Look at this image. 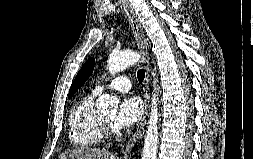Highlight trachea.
I'll return each mask as SVG.
<instances>
[{
  "instance_id": "1",
  "label": "trachea",
  "mask_w": 253,
  "mask_h": 159,
  "mask_svg": "<svg viewBox=\"0 0 253 159\" xmlns=\"http://www.w3.org/2000/svg\"><path fill=\"white\" fill-rule=\"evenodd\" d=\"M137 78H138V81H139L140 83L143 82V80H144V78H145V70H144V69L138 70V72H137Z\"/></svg>"
}]
</instances>
